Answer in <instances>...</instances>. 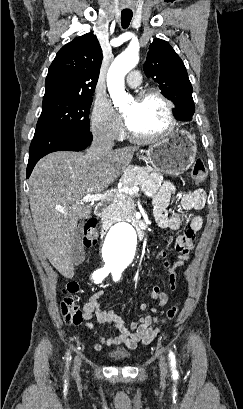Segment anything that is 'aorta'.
<instances>
[{
  "label": "aorta",
  "mask_w": 243,
  "mask_h": 409,
  "mask_svg": "<svg viewBox=\"0 0 243 409\" xmlns=\"http://www.w3.org/2000/svg\"><path fill=\"white\" fill-rule=\"evenodd\" d=\"M138 53L126 50L115 58L107 73V87L116 107L125 106L130 96L125 91L124 77L138 63ZM136 242V232L129 223H118L111 227L104 238L103 254L108 263L123 259Z\"/></svg>",
  "instance_id": "aorta-1"
}]
</instances>
